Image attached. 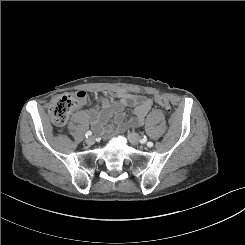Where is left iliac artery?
I'll return each mask as SVG.
<instances>
[{
    "label": "left iliac artery",
    "mask_w": 245,
    "mask_h": 245,
    "mask_svg": "<svg viewBox=\"0 0 245 245\" xmlns=\"http://www.w3.org/2000/svg\"><path fill=\"white\" fill-rule=\"evenodd\" d=\"M146 141V137L144 136V138L141 140V142H145ZM147 146L148 147H152L153 146V143L152 142H148L147 143Z\"/></svg>",
    "instance_id": "left-iliac-artery-1"
}]
</instances>
